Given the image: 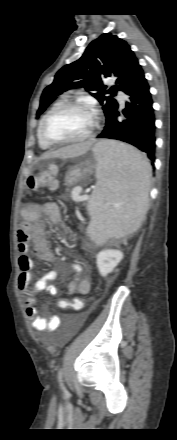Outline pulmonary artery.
<instances>
[{"label": "pulmonary artery", "mask_w": 177, "mask_h": 440, "mask_svg": "<svg viewBox=\"0 0 177 440\" xmlns=\"http://www.w3.org/2000/svg\"><path fill=\"white\" fill-rule=\"evenodd\" d=\"M118 101H119V103H120L121 106L124 105V103H125V96H124V94L119 93V95H118Z\"/></svg>", "instance_id": "pulmonary-artery-1"}]
</instances>
